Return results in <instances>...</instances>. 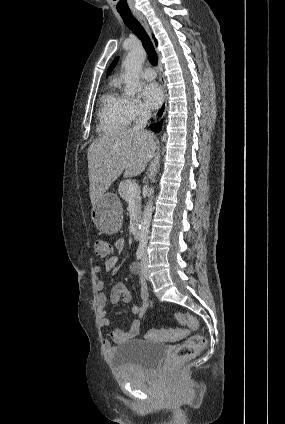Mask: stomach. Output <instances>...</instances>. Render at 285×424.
<instances>
[{"label":"stomach","instance_id":"obj_1","mask_svg":"<svg viewBox=\"0 0 285 424\" xmlns=\"http://www.w3.org/2000/svg\"><path fill=\"white\" fill-rule=\"evenodd\" d=\"M91 219L103 233L117 232L123 222V206L115 193H105L91 209Z\"/></svg>","mask_w":285,"mask_h":424}]
</instances>
